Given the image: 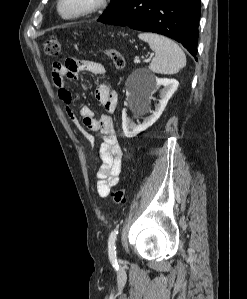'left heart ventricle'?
<instances>
[{
    "mask_svg": "<svg viewBox=\"0 0 247 299\" xmlns=\"http://www.w3.org/2000/svg\"><path fill=\"white\" fill-rule=\"evenodd\" d=\"M86 0H66L63 5V9L66 13H72L83 6Z\"/></svg>",
    "mask_w": 247,
    "mask_h": 299,
    "instance_id": "b2bd125f",
    "label": "left heart ventricle"
}]
</instances>
